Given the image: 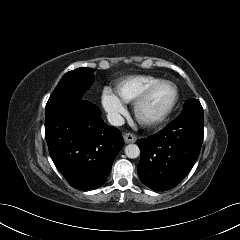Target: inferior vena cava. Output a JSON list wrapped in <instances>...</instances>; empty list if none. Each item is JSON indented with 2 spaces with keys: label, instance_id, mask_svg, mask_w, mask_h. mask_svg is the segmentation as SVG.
Wrapping results in <instances>:
<instances>
[{
  "label": "inferior vena cava",
  "instance_id": "obj_1",
  "mask_svg": "<svg viewBox=\"0 0 240 240\" xmlns=\"http://www.w3.org/2000/svg\"><path fill=\"white\" fill-rule=\"evenodd\" d=\"M107 120L113 126H122L125 122L124 118L117 112L108 113Z\"/></svg>",
  "mask_w": 240,
  "mask_h": 240
}]
</instances>
